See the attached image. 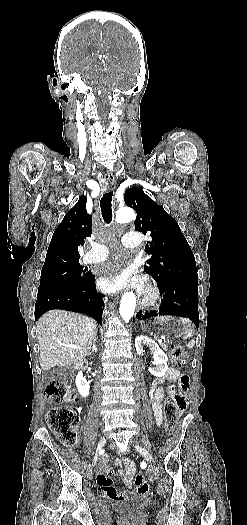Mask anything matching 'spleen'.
<instances>
[{
  "label": "spleen",
  "mask_w": 247,
  "mask_h": 525,
  "mask_svg": "<svg viewBox=\"0 0 247 525\" xmlns=\"http://www.w3.org/2000/svg\"><path fill=\"white\" fill-rule=\"evenodd\" d=\"M171 319H173V317H157V321H171ZM181 321L183 325H187V331H184V333H182V339H190V337H193L194 335V327L191 321H189V319H181ZM194 345L195 341H193V339H191V341H188L187 343L188 349H193Z\"/></svg>",
  "instance_id": "1"
}]
</instances>
